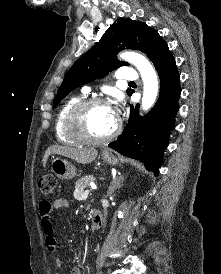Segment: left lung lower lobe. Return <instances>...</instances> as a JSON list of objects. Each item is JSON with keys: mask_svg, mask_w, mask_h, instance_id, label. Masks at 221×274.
I'll return each instance as SVG.
<instances>
[{"mask_svg": "<svg viewBox=\"0 0 221 274\" xmlns=\"http://www.w3.org/2000/svg\"><path fill=\"white\" fill-rule=\"evenodd\" d=\"M160 79V94L151 111L139 116V105L130 107V118L122 134L109 147L130 158L138 159L149 171L159 173L168 136L175 127L180 97V76L175 59L164 43L149 58Z\"/></svg>", "mask_w": 221, "mask_h": 274, "instance_id": "left-lung-lower-lobe-1", "label": "left lung lower lobe"}]
</instances>
